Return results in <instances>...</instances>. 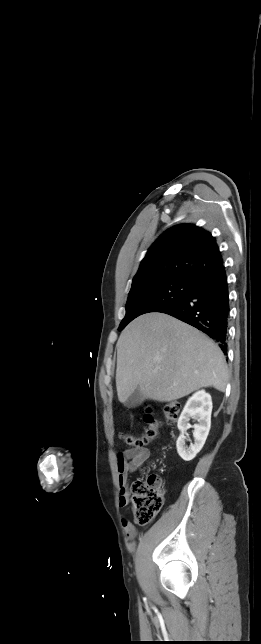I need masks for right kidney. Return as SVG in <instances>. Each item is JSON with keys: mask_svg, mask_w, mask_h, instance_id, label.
<instances>
[{"mask_svg": "<svg viewBox=\"0 0 261 644\" xmlns=\"http://www.w3.org/2000/svg\"><path fill=\"white\" fill-rule=\"evenodd\" d=\"M211 412L212 399L204 390L197 391L188 399L177 424L181 434L177 439L176 447L183 460H192L205 444L211 426ZM191 418L197 420L198 424L193 426L194 443L187 447L185 432L191 427L189 424Z\"/></svg>", "mask_w": 261, "mask_h": 644, "instance_id": "1", "label": "right kidney"}]
</instances>
